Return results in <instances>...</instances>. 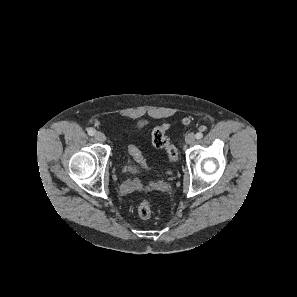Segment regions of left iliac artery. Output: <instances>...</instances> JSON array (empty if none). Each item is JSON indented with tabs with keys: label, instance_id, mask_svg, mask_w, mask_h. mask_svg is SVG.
<instances>
[{
	"label": "left iliac artery",
	"instance_id": "left-iliac-artery-1",
	"mask_svg": "<svg viewBox=\"0 0 297 297\" xmlns=\"http://www.w3.org/2000/svg\"><path fill=\"white\" fill-rule=\"evenodd\" d=\"M195 136L197 139H201L203 137V134H202V132H198V133H196Z\"/></svg>",
	"mask_w": 297,
	"mask_h": 297
}]
</instances>
